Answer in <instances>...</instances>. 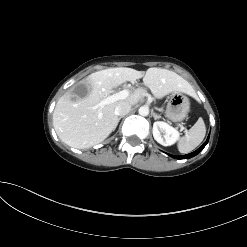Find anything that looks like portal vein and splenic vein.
Returning <instances> with one entry per match:
<instances>
[{"label":"portal vein and splenic vein","instance_id":"1","mask_svg":"<svg viewBox=\"0 0 247 247\" xmlns=\"http://www.w3.org/2000/svg\"><path fill=\"white\" fill-rule=\"evenodd\" d=\"M129 95H130V91L128 89L122 90L116 94L107 96L98 104V107H103L107 104L126 99ZM178 126L180 127L181 131L185 129L182 124H179Z\"/></svg>","mask_w":247,"mask_h":247}]
</instances>
